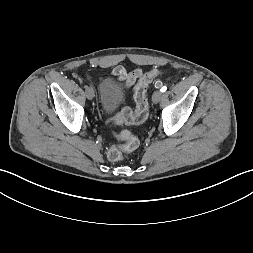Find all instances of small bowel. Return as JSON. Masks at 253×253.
I'll use <instances>...</instances> for the list:
<instances>
[{
  "label": "small bowel",
  "instance_id": "1",
  "mask_svg": "<svg viewBox=\"0 0 253 253\" xmlns=\"http://www.w3.org/2000/svg\"><path fill=\"white\" fill-rule=\"evenodd\" d=\"M112 75L123 82L125 87H131L142 75L141 69L127 72L122 66H116L112 70Z\"/></svg>",
  "mask_w": 253,
  "mask_h": 253
}]
</instances>
